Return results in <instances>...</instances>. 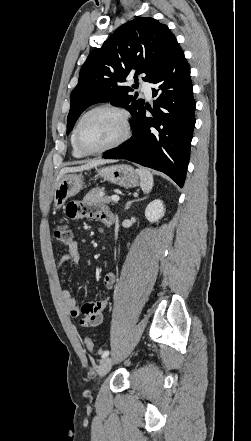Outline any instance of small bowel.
I'll use <instances>...</instances> for the list:
<instances>
[{"label":"small bowel","instance_id":"obj_1","mask_svg":"<svg viewBox=\"0 0 251 441\" xmlns=\"http://www.w3.org/2000/svg\"><path fill=\"white\" fill-rule=\"evenodd\" d=\"M66 212L71 219H98L105 225L108 222H112V224L114 222V216L107 208L89 200L70 202ZM80 259L79 245L76 241H72L68 245L67 253L62 256L59 267L62 268L69 263L78 264ZM103 284L107 289L113 288L115 284L114 272L109 271L105 273ZM61 297L70 316L75 318L81 326L95 327L102 323L103 313L108 306V297L85 303L82 306L78 305L77 300L69 290H63Z\"/></svg>","mask_w":251,"mask_h":441}]
</instances>
